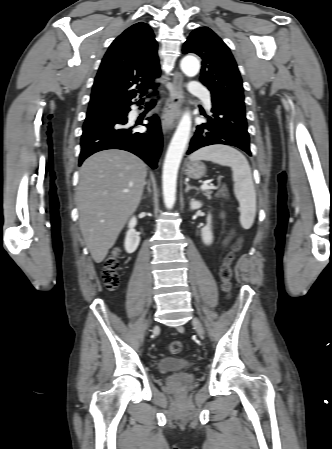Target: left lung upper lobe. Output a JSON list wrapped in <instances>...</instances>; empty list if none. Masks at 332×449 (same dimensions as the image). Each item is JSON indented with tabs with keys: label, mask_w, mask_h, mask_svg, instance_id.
<instances>
[{
	"label": "left lung upper lobe",
	"mask_w": 332,
	"mask_h": 449,
	"mask_svg": "<svg viewBox=\"0 0 332 449\" xmlns=\"http://www.w3.org/2000/svg\"><path fill=\"white\" fill-rule=\"evenodd\" d=\"M183 52L202 59L201 82L211 91L212 104L245 111L242 80L227 45L209 28L195 29Z\"/></svg>",
	"instance_id": "5c2ea615"
}]
</instances>
